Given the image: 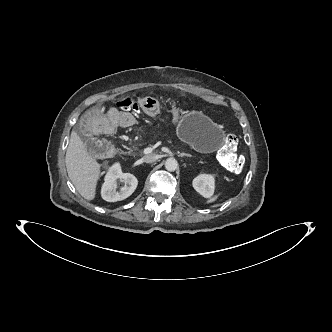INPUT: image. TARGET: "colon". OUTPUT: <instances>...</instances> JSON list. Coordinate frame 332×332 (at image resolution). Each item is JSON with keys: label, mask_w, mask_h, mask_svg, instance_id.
<instances>
[{"label": "colon", "mask_w": 332, "mask_h": 332, "mask_svg": "<svg viewBox=\"0 0 332 332\" xmlns=\"http://www.w3.org/2000/svg\"><path fill=\"white\" fill-rule=\"evenodd\" d=\"M118 108L127 113L131 117H137L141 123L149 122L152 119V114L147 111L140 113L139 103L131 98H124L117 104ZM237 138L232 135L224 137L221 149L218 154V159L221 165L231 173H239L244 166V157L237 153ZM87 148L90 153L96 156H107L111 151V145L107 141L88 142Z\"/></svg>", "instance_id": "obj_1"}]
</instances>
